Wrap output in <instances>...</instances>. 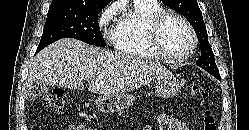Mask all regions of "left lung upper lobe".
Wrapping results in <instances>:
<instances>
[{
    "label": "left lung upper lobe",
    "instance_id": "left-lung-upper-lobe-1",
    "mask_svg": "<svg viewBox=\"0 0 249 130\" xmlns=\"http://www.w3.org/2000/svg\"><path fill=\"white\" fill-rule=\"evenodd\" d=\"M169 8L182 14L194 28L202 50V54L196 64L221 79L219 70L216 66L212 48L208 42L206 26L203 21L201 10L196 0H162Z\"/></svg>",
    "mask_w": 249,
    "mask_h": 130
}]
</instances>
